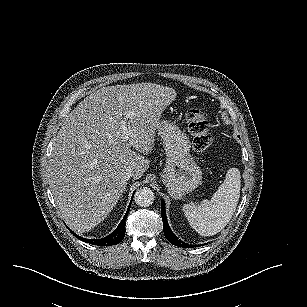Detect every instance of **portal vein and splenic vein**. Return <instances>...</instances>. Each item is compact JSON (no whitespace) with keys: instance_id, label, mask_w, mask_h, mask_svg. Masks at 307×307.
Masks as SVG:
<instances>
[{"instance_id":"18ae733b","label":"portal vein and splenic vein","mask_w":307,"mask_h":307,"mask_svg":"<svg viewBox=\"0 0 307 307\" xmlns=\"http://www.w3.org/2000/svg\"><path fill=\"white\" fill-rule=\"evenodd\" d=\"M130 118V116L125 115L123 118L120 119L119 121V125H120V130L122 132V137H123V141H128L129 140V130L127 128V124L126 122L128 121V119Z\"/></svg>"}]
</instances>
